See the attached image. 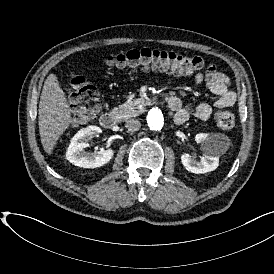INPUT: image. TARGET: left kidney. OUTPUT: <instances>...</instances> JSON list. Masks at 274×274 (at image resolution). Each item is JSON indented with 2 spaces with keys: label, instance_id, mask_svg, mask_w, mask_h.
Instances as JSON below:
<instances>
[{
  "label": "left kidney",
  "instance_id": "1",
  "mask_svg": "<svg viewBox=\"0 0 274 274\" xmlns=\"http://www.w3.org/2000/svg\"><path fill=\"white\" fill-rule=\"evenodd\" d=\"M196 143L200 144L203 156L200 161L195 160L189 154L181 155V162L189 172L195 174L207 173L219 166V157L226 152L224 135L220 133H198L195 136Z\"/></svg>",
  "mask_w": 274,
  "mask_h": 274
}]
</instances>
